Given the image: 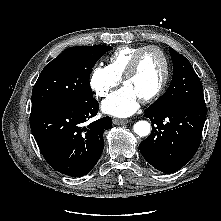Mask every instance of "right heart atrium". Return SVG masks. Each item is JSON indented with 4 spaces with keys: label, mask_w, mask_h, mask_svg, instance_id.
<instances>
[{
    "label": "right heart atrium",
    "mask_w": 221,
    "mask_h": 221,
    "mask_svg": "<svg viewBox=\"0 0 221 221\" xmlns=\"http://www.w3.org/2000/svg\"><path fill=\"white\" fill-rule=\"evenodd\" d=\"M120 79L115 77L107 67H95L89 76V86L97 97L103 98L110 94Z\"/></svg>",
    "instance_id": "d8ad5b80"
}]
</instances>
